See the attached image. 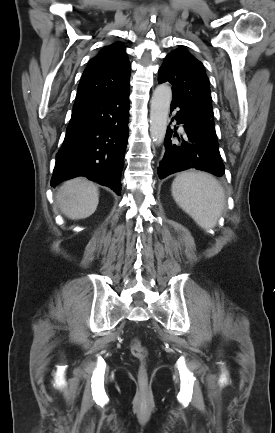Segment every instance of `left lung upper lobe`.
Listing matches in <instances>:
<instances>
[{
  "label": "left lung upper lobe",
  "instance_id": "5c2ea615",
  "mask_svg": "<svg viewBox=\"0 0 275 433\" xmlns=\"http://www.w3.org/2000/svg\"><path fill=\"white\" fill-rule=\"evenodd\" d=\"M158 82H169L173 95L183 100L195 121L216 135L209 79L200 61L184 48H178L165 57Z\"/></svg>",
  "mask_w": 275,
  "mask_h": 433
}]
</instances>
